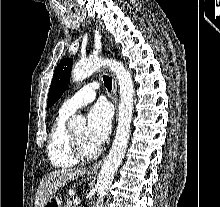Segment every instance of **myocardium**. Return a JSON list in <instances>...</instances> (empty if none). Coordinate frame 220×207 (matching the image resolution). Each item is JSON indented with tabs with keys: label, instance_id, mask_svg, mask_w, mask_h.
<instances>
[{
	"label": "myocardium",
	"instance_id": "f54148a6",
	"mask_svg": "<svg viewBox=\"0 0 220 207\" xmlns=\"http://www.w3.org/2000/svg\"><path fill=\"white\" fill-rule=\"evenodd\" d=\"M69 148H70V152L72 156L78 161L92 160L96 158L100 153L99 148H97L95 151L91 153L86 152L83 149L79 140L76 138V136L72 132H69Z\"/></svg>",
	"mask_w": 220,
	"mask_h": 207
}]
</instances>
